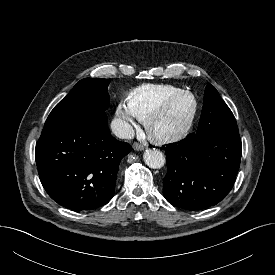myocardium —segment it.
<instances>
[{"label": "myocardium", "mask_w": 275, "mask_h": 275, "mask_svg": "<svg viewBox=\"0 0 275 275\" xmlns=\"http://www.w3.org/2000/svg\"><path fill=\"white\" fill-rule=\"evenodd\" d=\"M188 97L191 100V110L189 116L185 123L176 131L167 133V134H157L153 131V123L154 121L161 116L177 99L181 97ZM198 111V101L193 92L189 90H179L176 93L170 95L165 100H163L160 104H158L154 109H152L148 115L144 118V126L145 129L150 136L156 142L159 143H173L184 138L195 122Z\"/></svg>", "instance_id": "f54148a6"}]
</instances>
